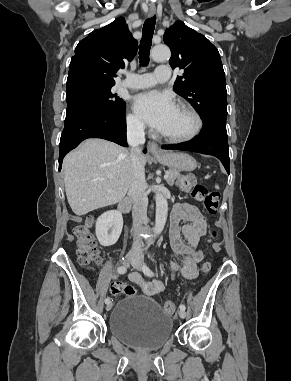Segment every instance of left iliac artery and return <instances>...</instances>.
Masks as SVG:
<instances>
[{"label":"left iliac artery","instance_id":"1","mask_svg":"<svg viewBox=\"0 0 291 381\" xmlns=\"http://www.w3.org/2000/svg\"><path fill=\"white\" fill-rule=\"evenodd\" d=\"M143 272L145 275H147L149 277H152L155 275L154 272L149 267H147L146 265L143 266ZM179 307L182 310L186 309V306L184 304H181Z\"/></svg>","mask_w":291,"mask_h":381}]
</instances>
